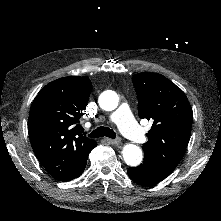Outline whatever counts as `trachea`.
Here are the masks:
<instances>
[{
    "instance_id": "obj_1",
    "label": "trachea",
    "mask_w": 221,
    "mask_h": 221,
    "mask_svg": "<svg viewBox=\"0 0 221 221\" xmlns=\"http://www.w3.org/2000/svg\"><path fill=\"white\" fill-rule=\"evenodd\" d=\"M88 136L91 138H100L106 136L108 138L115 139L116 133L108 127L100 126L93 130Z\"/></svg>"
}]
</instances>
